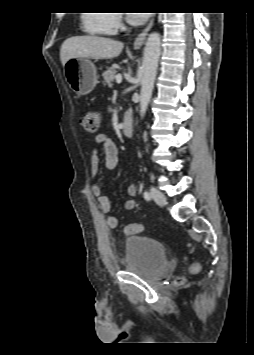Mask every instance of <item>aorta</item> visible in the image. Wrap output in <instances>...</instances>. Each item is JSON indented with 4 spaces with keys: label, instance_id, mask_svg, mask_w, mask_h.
Wrapping results in <instances>:
<instances>
[{
    "label": "aorta",
    "instance_id": "aorta-1",
    "mask_svg": "<svg viewBox=\"0 0 254 355\" xmlns=\"http://www.w3.org/2000/svg\"><path fill=\"white\" fill-rule=\"evenodd\" d=\"M161 53V38L157 32L151 33L144 48L142 81L140 91V115L143 117L150 102Z\"/></svg>",
    "mask_w": 254,
    "mask_h": 355
}]
</instances>
